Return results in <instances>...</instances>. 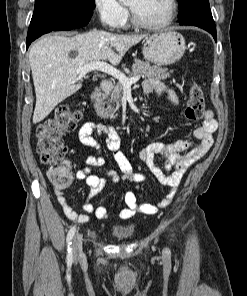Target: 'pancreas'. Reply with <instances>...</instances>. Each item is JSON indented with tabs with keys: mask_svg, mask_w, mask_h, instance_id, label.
I'll return each mask as SVG.
<instances>
[{
	"mask_svg": "<svg viewBox=\"0 0 247 296\" xmlns=\"http://www.w3.org/2000/svg\"><path fill=\"white\" fill-rule=\"evenodd\" d=\"M172 71H168L166 68L159 66H151L147 62L136 59L132 66V73L130 77L142 76L148 78H157L159 80H165L170 77ZM123 94V86L120 83L114 85L110 94H105L100 97L96 102V108L98 109V115L101 118L115 119L117 115L115 112L118 110L121 98ZM105 105L107 106L105 108ZM116 105V107H114Z\"/></svg>",
	"mask_w": 247,
	"mask_h": 296,
	"instance_id": "cf45deb5",
	"label": "pancreas"
}]
</instances>
